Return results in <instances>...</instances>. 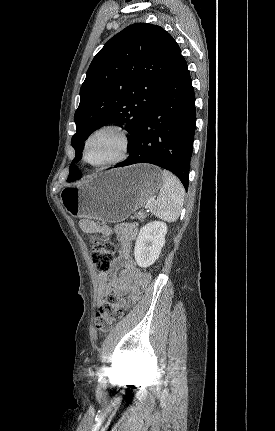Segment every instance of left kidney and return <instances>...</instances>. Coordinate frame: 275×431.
I'll return each mask as SVG.
<instances>
[{
  "instance_id": "1",
  "label": "left kidney",
  "mask_w": 275,
  "mask_h": 431,
  "mask_svg": "<svg viewBox=\"0 0 275 431\" xmlns=\"http://www.w3.org/2000/svg\"><path fill=\"white\" fill-rule=\"evenodd\" d=\"M167 225L161 221H153L140 229L136 239L134 256L138 266L146 268L159 257L165 244Z\"/></svg>"
}]
</instances>
